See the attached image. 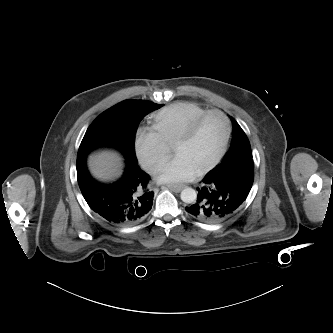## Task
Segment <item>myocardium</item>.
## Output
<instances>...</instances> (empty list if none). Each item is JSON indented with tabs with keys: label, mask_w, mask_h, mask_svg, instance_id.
<instances>
[{
	"label": "myocardium",
	"mask_w": 333,
	"mask_h": 333,
	"mask_svg": "<svg viewBox=\"0 0 333 333\" xmlns=\"http://www.w3.org/2000/svg\"><path fill=\"white\" fill-rule=\"evenodd\" d=\"M219 115L223 118L224 122H225V126H226V132H225V138L222 144V147L219 151V153L217 154V156L210 162L208 163L206 166L202 167L201 169H199L197 171L198 175H202L204 173H207L208 171L212 170L224 157L230 141H231V137H232V123L231 120L229 118V116L219 110V109H212V110H208L205 113L201 114L200 116H198L196 119H194L175 139L174 144L178 143V142H183V141H187L189 139H191L193 137V135L195 134V132L197 131L198 127L200 126V124L210 115Z\"/></svg>",
	"instance_id": "f54148a6"
}]
</instances>
